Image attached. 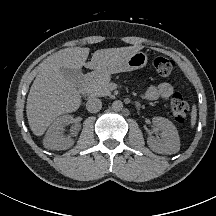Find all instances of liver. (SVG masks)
<instances>
[{"label":"liver","instance_id":"liver-1","mask_svg":"<svg viewBox=\"0 0 216 216\" xmlns=\"http://www.w3.org/2000/svg\"><path fill=\"white\" fill-rule=\"evenodd\" d=\"M142 46L108 48L93 53L86 63L89 48H66L49 56L36 76L27 98L26 113L31 131L42 136L56 117L76 111L81 104V96L76 85L68 81L61 68L100 69L119 64Z\"/></svg>","mask_w":216,"mask_h":216}]
</instances>
